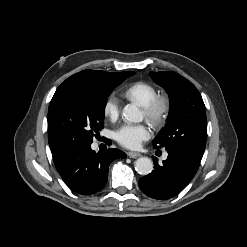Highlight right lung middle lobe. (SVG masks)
<instances>
[{"label": "right lung middle lobe", "instance_id": "1", "mask_svg": "<svg viewBox=\"0 0 247 247\" xmlns=\"http://www.w3.org/2000/svg\"><path fill=\"white\" fill-rule=\"evenodd\" d=\"M133 71L111 81L95 83L67 79L57 88L48 110V139L52 151L63 153L90 145L104 125L107 97Z\"/></svg>", "mask_w": 247, "mask_h": 247}]
</instances>
